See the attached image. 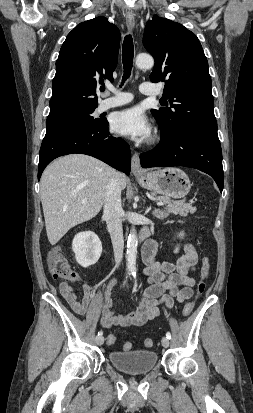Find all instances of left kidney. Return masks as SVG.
<instances>
[{
  "mask_svg": "<svg viewBox=\"0 0 253 413\" xmlns=\"http://www.w3.org/2000/svg\"><path fill=\"white\" fill-rule=\"evenodd\" d=\"M179 236H180V237H183V236H184V233H183V232H181V233L179 234Z\"/></svg>",
  "mask_w": 253,
  "mask_h": 413,
  "instance_id": "5707ae66",
  "label": "left kidney"
}]
</instances>
